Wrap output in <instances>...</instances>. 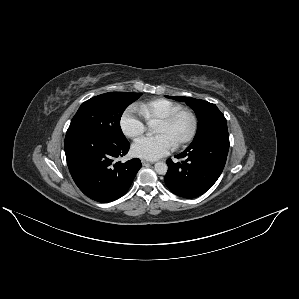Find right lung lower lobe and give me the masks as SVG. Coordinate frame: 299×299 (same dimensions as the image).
<instances>
[{"mask_svg":"<svg viewBox=\"0 0 299 299\" xmlns=\"http://www.w3.org/2000/svg\"><path fill=\"white\" fill-rule=\"evenodd\" d=\"M129 142H117L95 131L66 133L64 149L71 176L89 198L107 203L123 196L141 168L137 158L116 162L129 150Z\"/></svg>","mask_w":299,"mask_h":299,"instance_id":"obj_1","label":"right lung lower lobe"}]
</instances>
